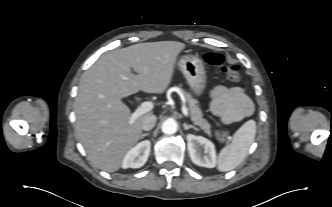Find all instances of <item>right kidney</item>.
<instances>
[{
    "instance_id": "obj_1",
    "label": "right kidney",
    "mask_w": 332,
    "mask_h": 207,
    "mask_svg": "<svg viewBox=\"0 0 332 207\" xmlns=\"http://www.w3.org/2000/svg\"><path fill=\"white\" fill-rule=\"evenodd\" d=\"M151 143L149 140L138 143L130 149L122 161V168H140L142 167L150 154Z\"/></svg>"
}]
</instances>
